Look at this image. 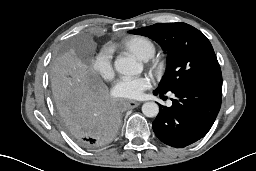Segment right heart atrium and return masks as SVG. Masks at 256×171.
<instances>
[{
  "mask_svg": "<svg viewBox=\"0 0 256 171\" xmlns=\"http://www.w3.org/2000/svg\"><path fill=\"white\" fill-rule=\"evenodd\" d=\"M93 70L96 74L105 80H111L114 77V68L112 55L107 50H101L93 61Z\"/></svg>",
  "mask_w": 256,
  "mask_h": 171,
  "instance_id": "d8ad5b80",
  "label": "right heart atrium"
}]
</instances>
